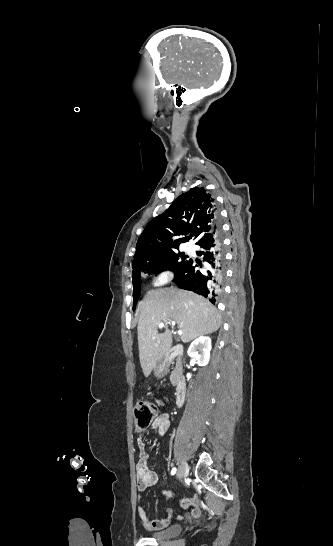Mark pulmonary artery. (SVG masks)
<instances>
[{"mask_svg": "<svg viewBox=\"0 0 333 546\" xmlns=\"http://www.w3.org/2000/svg\"><path fill=\"white\" fill-rule=\"evenodd\" d=\"M186 252L189 253V254H192V253H194V248H192L190 246L186 247Z\"/></svg>", "mask_w": 333, "mask_h": 546, "instance_id": "obj_1", "label": "pulmonary artery"}]
</instances>
